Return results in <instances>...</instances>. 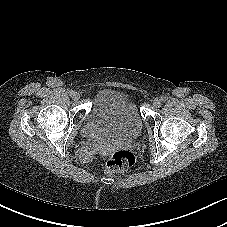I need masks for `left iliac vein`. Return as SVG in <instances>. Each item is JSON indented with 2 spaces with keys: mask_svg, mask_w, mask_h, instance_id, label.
Instances as JSON below:
<instances>
[{
  "mask_svg": "<svg viewBox=\"0 0 227 227\" xmlns=\"http://www.w3.org/2000/svg\"><path fill=\"white\" fill-rule=\"evenodd\" d=\"M161 103H162V101H161V99H159V98H156V99H154V101H153V105H154L155 107H160V106H161Z\"/></svg>",
  "mask_w": 227,
  "mask_h": 227,
  "instance_id": "obj_1",
  "label": "left iliac vein"
}]
</instances>
